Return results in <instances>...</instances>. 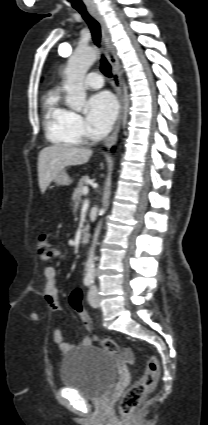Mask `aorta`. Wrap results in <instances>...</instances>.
<instances>
[{"label": "aorta", "mask_w": 208, "mask_h": 425, "mask_svg": "<svg viewBox=\"0 0 208 425\" xmlns=\"http://www.w3.org/2000/svg\"><path fill=\"white\" fill-rule=\"evenodd\" d=\"M97 58V53L92 48L81 49L74 51L68 60L65 69L64 90L66 91V103L68 106L77 112H80L86 101V91L84 88V78L89 67ZM101 223L98 225L93 243L89 251V257L86 265V278L93 279L95 276V247L99 236Z\"/></svg>", "instance_id": "obj_1"}]
</instances>
